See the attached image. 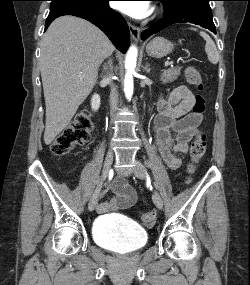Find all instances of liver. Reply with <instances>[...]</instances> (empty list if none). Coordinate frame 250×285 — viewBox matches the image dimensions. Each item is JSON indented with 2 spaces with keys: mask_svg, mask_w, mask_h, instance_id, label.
Here are the masks:
<instances>
[{
  "mask_svg": "<svg viewBox=\"0 0 250 285\" xmlns=\"http://www.w3.org/2000/svg\"><path fill=\"white\" fill-rule=\"evenodd\" d=\"M114 51L108 37L83 19L54 20L41 41L40 72L45 97L44 142L69 124L97 82L98 68Z\"/></svg>",
  "mask_w": 250,
  "mask_h": 285,
  "instance_id": "liver-1",
  "label": "liver"
}]
</instances>
